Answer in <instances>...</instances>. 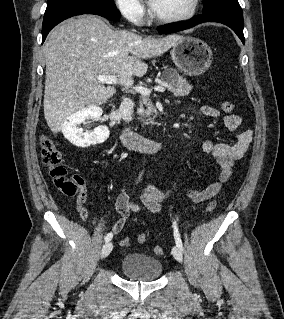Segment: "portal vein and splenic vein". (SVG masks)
Masks as SVG:
<instances>
[{
	"mask_svg": "<svg viewBox=\"0 0 284 319\" xmlns=\"http://www.w3.org/2000/svg\"><path fill=\"white\" fill-rule=\"evenodd\" d=\"M97 79L102 84L115 85L118 83L117 76H115V75H99V76H97ZM133 89H135L138 93H140L143 96L150 95V93L152 91L151 89H148V88L143 87V86H136ZM154 90L158 91V92H164L165 88L162 86H156V87H154Z\"/></svg>",
	"mask_w": 284,
	"mask_h": 319,
	"instance_id": "1",
	"label": "portal vein and splenic vein"
}]
</instances>
